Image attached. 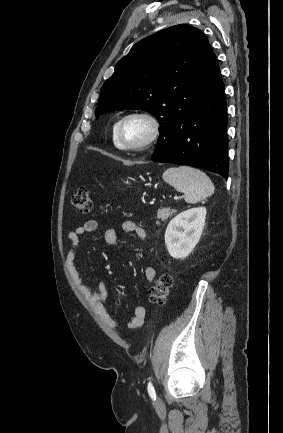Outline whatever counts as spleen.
<instances>
[{
	"mask_svg": "<svg viewBox=\"0 0 283 433\" xmlns=\"http://www.w3.org/2000/svg\"><path fill=\"white\" fill-rule=\"evenodd\" d=\"M162 178L179 192H184L186 202L203 200L206 196H211L215 190L209 176L192 166H171L163 172Z\"/></svg>",
	"mask_w": 283,
	"mask_h": 433,
	"instance_id": "spleen-1",
	"label": "spleen"
}]
</instances>
